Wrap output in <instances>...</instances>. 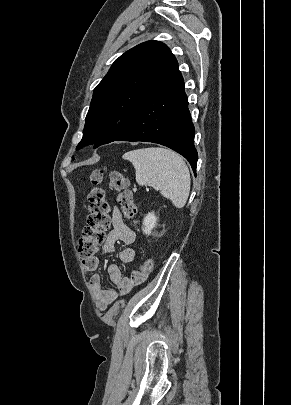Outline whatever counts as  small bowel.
Wrapping results in <instances>:
<instances>
[{"label": "small bowel", "instance_id": "1", "mask_svg": "<svg viewBox=\"0 0 291 405\" xmlns=\"http://www.w3.org/2000/svg\"><path fill=\"white\" fill-rule=\"evenodd\" d=\"M112 228L108 232L104 243L101 246V252L110 254L114 251V246L117 242L125 245L134 243L136 235L123 221L122 214L117 207H114L111 214ZM119 258L122 263H131L135 259L134 249L127 247L120 251ZM83 267L88 272H93L90 277V287L100 309L104 310L117 297V293L112 288H103L101 276L95 273L99 267L97 257H92L88 260H83ZM110 280L117 286L122 294L128 293L143 277L137 271H132L129 276H123L120 267L112 264L108 267Z\"/></svg>", "mask_w": 291, "mask_h": 405}]
</instances>
